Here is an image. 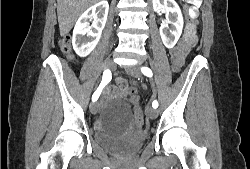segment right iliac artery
Returning <instances> with one entry per match:
<instances>
[{
  "mask_svg": "<svg viewBox=\"0 0 250 169\" xmlns=\"http://www.w3.org/2000/svg\"><path fill=\"white\" fill-rule=\"evenodd\" d=\"M111 79H112L111 71L109 69L105 70L103 72L102 81H101L99 87L92 95V101H97V99L99 98V96L102 92V89L105 87V85H107L111 81Z\"/></svg>",
  "mask_w": 250,
  "mask_h": 169,
  "instance_id": "obj_1",
  "label": "right iliac artery"
}]
</instances>
